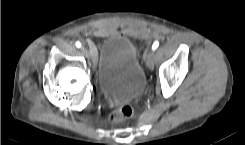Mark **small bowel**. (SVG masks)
<instances>
[{
	"instance_id": "1",
	"label": "small bowel",
	"mask_w": 245,
	"mask_h": 145,
	"mask_svg": "<svg viewBox=\"0 0 245 145\" xmlns=\"http://www.w3.org/2000/svg\"><path fill=\"white\" fill-rule=\"evenodd\" d=\"M111 33V30H99L97 35L98 36H105ZM130 34L133 36H141V37H148L150 35V30L147 28H142L135 31H130Z\"/></svg>"
}]
</instances>
